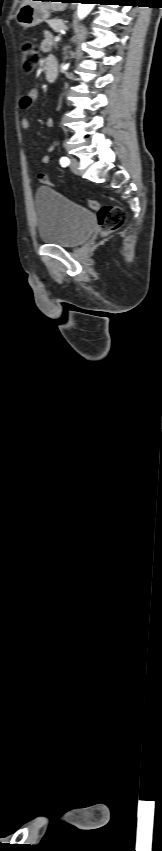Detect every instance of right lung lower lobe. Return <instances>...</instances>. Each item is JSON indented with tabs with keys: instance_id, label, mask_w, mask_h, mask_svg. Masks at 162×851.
I'll list each match as a JSON object with an SVG mask.
<instances>
[{
	"instance_id": "right-lung-lower-lobe-1",
	"label": "right lung lower lobe",
	"mask_w": 162,
	"mask_h": 851,
	"mask_svg": "<svg viewBox=\"0 0 162 851\" xmlns=\"http://www.w3.org/2000/svg\"><path fill=\"white\" fill-rule=\"evenodd\" d=\"M43 1H52V0H43Z\"/></svg>"
}]
</instances>
